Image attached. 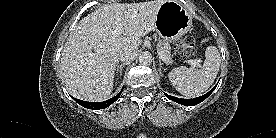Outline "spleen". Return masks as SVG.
<instances>
[{"label":"spleen","mask_w":276,"mask_h":138,"mask_svg":"<svg viewBox=\"0 0 276 138\" xmlns=\"http://www.w3.org/2000/svg\"><path fill=\"white\" fill-rule=\"evenodd\" d=\"M221 57L215 46H208L201 68L185 66L173 69L169 80L178 92L187 97H195L205 92L214 82L220 67Z\"/></svg>","instance_id":"1"}]
</instances>
